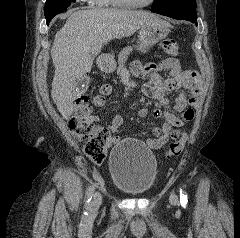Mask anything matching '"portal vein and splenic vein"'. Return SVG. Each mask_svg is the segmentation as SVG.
Instances as JSON below:
<instances>
[{
	"instance_id": "portal-vein-and-splenic-vein-1",
	"label": "portal vein and splenic vein",
	"mask_w": 240,
	"mask_h": 238,
	"mask_svg": "<svg viewBox=\"0 0 240 238\" xmlns=\"http://www.w3.org/2000/svg\"><path fill=\"white\" fill-rule=\"evenodd\" d=\"M100 48V47H99ZM99 48H94L92 51H93V53L94 52H96V51H98L99 50Z\"/></svg>"
}]
</instances>
